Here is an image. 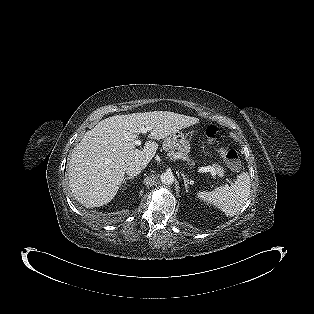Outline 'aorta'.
Segmentation results:
<instances>
[{
    "mask_svg": "<svg viewBox=\"0 0 314 314\" xmlns=\"http://www.w3.org/2000/svg\"><path fill=\"white\" fill-rule=\"evenodd\" d=\"M161 182L165 185H171L174 182V175L172 172H164L160 176Z\"/></svg>",
    "mask_w": 314,
    "mask_h": 314,
    "instance_id": "762f6f07",
    "label": "aorta"
}]
</instances>
